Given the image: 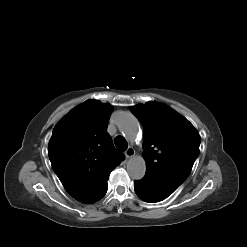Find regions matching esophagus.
Returning <instances> with one entry per match:
<instances>
[{
	"label": "esophagus",
	"instance_id": "34e87169",
	"mask_svg": "<svg viewBox=\"0 0 247 247\" xmlns=\"http://www.w3.org/2000/svg\"><path fill=\"white\" fill-rule=\"evenodd\" d=\"M135 155V150L133 147H128L127 150L125 151V156L126 158H131Z\"/></svg>",
	"mask_w": 247,
	"mask_h": 247
}]
</instances>
